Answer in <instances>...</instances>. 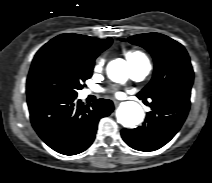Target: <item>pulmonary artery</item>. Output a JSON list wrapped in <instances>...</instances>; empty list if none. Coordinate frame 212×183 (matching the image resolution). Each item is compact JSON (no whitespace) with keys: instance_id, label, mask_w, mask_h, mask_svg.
Returning a JSON list of instances; mask_svg holds the SVG:
<instances>
[{"instance_id":"obj_1","label":"pulmonary artery","mask_w":212,"mask_h":183,"mask_svg":"<svg viewBox=\"0 0 212 183\" xmlns=\"http://www.w3.org/2000/svg\"><path fill=\"white\" fill-rule=\"evenodd\" d=\"M151 71V64L148 60H140L130 64V75L136 81L143 80ZM90 94L89 90L84 91V95Z\"/></svg>"}]
</instances>
